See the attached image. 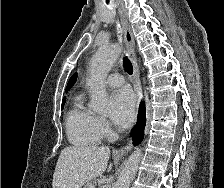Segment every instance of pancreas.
Segmentation results:
<instances>
[{
	"label": "pancreas",
	"mask_w": 224,
	"mask_h": 188,
	"mask_svg": "<svg viewBox=\"0 0 224 188\" xmlns=\"http://www.w3.org/2000/svg\"><path fill=\"white\" fill-rule=\"evenodd\" d=\"M92 186L94 187V181H90V182L86 183L83 188H90Z\"/></svg>",
	"instance_id": "1"
}]
</instances>
